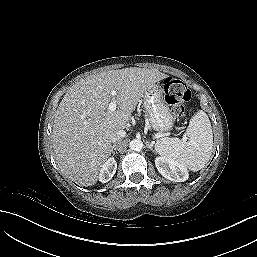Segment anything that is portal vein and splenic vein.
Here are the masks:
<instances>
[{
    "mask_svg": "<svg viewBox=\"0 0 257 257\" xmlns=\"http://www.w3.org/2000/svg\"><path fill=\"white\" fill-rule=\"evenodd\" d=\"M111 95L113 96V99L109 103V106H108L109 112L115 111L116 107H117L116 100H115V96L117 95V92L113 90V91H111Z\"/></svg>",
    "mask_w": 257,
    "mask_h": 257,
    "instance_id": "obj_1",
    "label": "portal vein and splenic vein"
}]
</instances>
